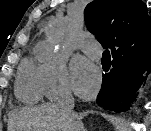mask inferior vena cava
<instances>
[{
    "instance_id": "obj_1",
    "label": "inferior vena cava",
    "mask_w": 151,
    "mask_h": 131,
    "mask_svg": "<svg viewBox=\"0 0 151 131\" xmlns=\"http://www.w3.org/2000/svg\"><path fill=\"white\" fill-rule=\"evenodd\" d=\"M54 104L61 110L70 112L74 106L71 93L67 89H63L54 99Z\"/></svg>"
}]
</instances>
